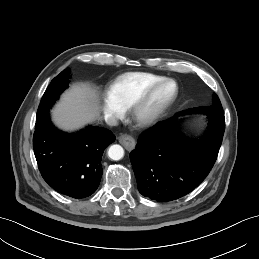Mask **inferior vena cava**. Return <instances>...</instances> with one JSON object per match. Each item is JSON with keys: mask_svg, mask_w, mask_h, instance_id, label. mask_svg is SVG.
<instances>
[{"mask_svg": "<svg viewBox=\"0 0 259 259\" xmlns=\"http://www.w3.org/2000/svg\"><path fill=\"white\" fill-rule=\"evenodd\" d=\"M105 121L109 126H116L118 125L117 119L112 115H107L105 117Z\"/></svg>", "mask_w": 259, "mask_h": 259, "instance_id": "obj_1", "label": "inferior vena cava"}]
</instances>
